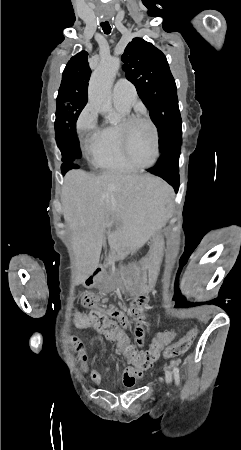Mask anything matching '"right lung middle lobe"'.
I'll list each match as a JSON object with an SVG mask.
<instances>
[{"instance_id": "1", "label": "right lung middle lobe", "mask_w": 241, "mask_h": 450, "mask_svg": "<svg viewBox=\"0 0 241 450\" xmlns=\"http://www.w3.org/2000/svg\"><path fill=\"white\" fill-rule=\"evenodd\" d=\"M88 81L89 78L62 82L58 91L55 132L56 140L62 153V161L64 162L61 166L62 174L74 168L70 163L77 162L81 156L78 154L74 158L66 154V134L71 122L79 116L87 103Z\"/></svg>"}]
</instances>
